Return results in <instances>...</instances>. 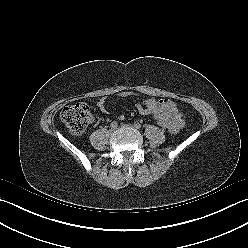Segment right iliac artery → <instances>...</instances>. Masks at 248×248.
Wrapping results in <instances>:
<instances>
[{"label":"right iliac artery","instance_id":"82829eb1","mask_svg":"<svg viewBox=\"0 0 248 248\" xmlns=\"http://www.w3.org/2000/svg\"><path fill=\"white\" fill-rule=\"evenodd\" d=\"M110 126H111L112 128H117L118 122H117V121H113V122L110 124Z\"/></svg>","mask_w":248,"mask_h":248}]
</instances>
